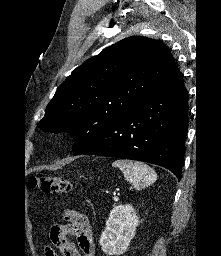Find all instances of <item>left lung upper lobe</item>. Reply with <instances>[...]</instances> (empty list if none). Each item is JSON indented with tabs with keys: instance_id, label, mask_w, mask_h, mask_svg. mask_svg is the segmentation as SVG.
I'll list each match as a JSON object with an SVG mask.
<instances>
[{
	"instance_id": "5c2ea615",
	"label": "left lung upper lobe",
	"mask_w": 221,
	"mask_h": 256,
	"mask_svg": "<svg viewBox=\"0 0 221 256\" xmlns=\"http://www.w3.org/2000/svg\"><path fill=\"white\" fill-rule=\"evenodd\" d=\"M178 72L162 42L140 36L123 39L73 70L38 126L69 132L76 151Z\"/></svg>"
}]
</instances>
